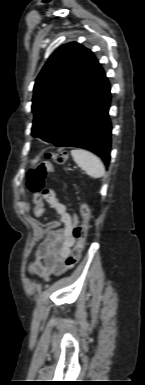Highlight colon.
<instances>
[{"instance_id": "colon-1", "label": "colon", "mask_w": 145, "mask_h": 385, "mask_svg": "<svg viewBox=\"0 0 145 385\" xmlns=\"http://www.w3.org/2000/svg\"><path fill=\"white\" fill-rule=\"evenodd\" d=\"M67 158L68 156L65 152L47 153L45 155V160L30 170L27 185L29 190L34 195V202L39 201L40 193L44 190L47 175L54 171L51 162L64 164L67 161ZM80 214L82 222L80 224H75L72 230L75 245L70 257L68 258V264L72 267L77 264L86 243V237L91 219V211L86 203H81Z\"/></svg>"}]
</instances>
